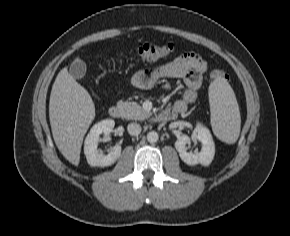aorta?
I'll return each mask as SVG.
<instances>
[{
    "label": "aorta",
    "mask_w": 290,
    "mask_h": 236,
    "mask_svg": "<svg viewBox=\"0 0 290 236\" xmlns=\"http://www.w3.org/2000/svg\"><path fill=\"white\" fill-rule=\"evenodd\" d=\"M159 139V135L156 131H150L147 134V140L149 143H156Z\"/></svg>",
    "instance_id": "obj_1"
}]
</instances>
